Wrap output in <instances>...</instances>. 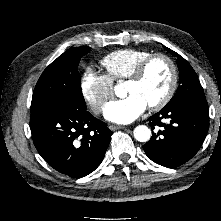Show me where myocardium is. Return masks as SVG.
Returning a JSON list of instances; mask_svg holds the SVG:
<instances>
[{
    "label": "myocardium",
    "mask_w": 221,
    "mask_h": 221,
    "mask_svg": "<svg viewBox=\"0 0 221 221\" xmlns=\"http://www.w3.org/2000/svg\"><path fill=\"white\" fill-rule=\"evenodd\" d=\"M163 59L165 60L171 70V80H170V84L169 87L166 91V93L164 94V96L157 102L151 104L148 106V108L152 111H157L162 109L163 107H165L170 100L173 98L177 85H178V68L176 66V63L174 62V60L168 56L165 53H153L150 54L149 56H147L146 58H144L134 69V71L132 72V74L127 78V82H138L142 79V77L144 76L147 67L149 66V64L155 60V59Z\"/></svg>",
    "instance_id": "obj_1"
}]
</instances>
